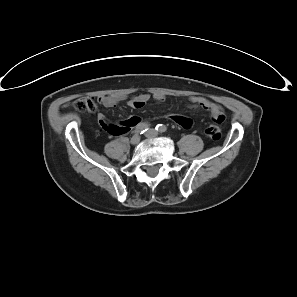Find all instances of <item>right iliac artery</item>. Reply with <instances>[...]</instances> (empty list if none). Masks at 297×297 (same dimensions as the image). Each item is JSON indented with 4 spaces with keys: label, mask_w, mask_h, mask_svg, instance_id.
Listing matches in <instances>:
<instances>
[{
    "label": "right iliac artery",
    "mask_w": 297,
    "mask_h": 297,
    "mask_svg": "<svg viewBox=\"0 0 297 297\" xmlns=\"http://www.w3.org/2000/svg\"><path fill=\"white\" fill-rule=\"evenodd\" d=\"M148 128H149V125L147 124V123H139L137 126H136V128H135V130H134V133H136V134H142V133H144L145 131H147L148 130Z\"/></svg>",
    "instance_id": "right-iliac-artery-1"
}]
</instances>
